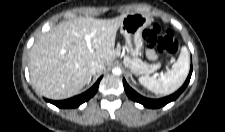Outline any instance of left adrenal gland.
<instances>
[{
  "label": "left adrenal gland",
  "instance_id": "obj_1",
  "mask_svg": "<svg viewBox=\"0 0 225 132\" xmlns=\"http://www.w3.org/2000/svg\"><path fill=\"white\" fill-rule=\"evenodd\" d=\"M131 80H132V82H133L134 84H136V81L134 80V78L132 77V75H131Z\"/></svg>",
  "mask_w": 225,
  "mask_h": 132
}]
</instances>
